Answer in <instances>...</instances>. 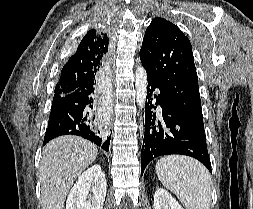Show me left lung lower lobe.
<instances>
[{"label": "left lung lower lobe", "instance_id": "left-lung-lower-lobe-1", "mask_svg": "<svg viewBox=\"0 0 253 209\" xmlns=\"http://www.w3.org/2000/svg\"><path fill=\"white\" fill-rule=\"evenodd\" d=\"M148 89L145 104V135L141 150V175L151 160L162 155L181 154L202 162L211 172V163L204 130L197 128L181 115L164 87L147 74ZM158 88L159 93L153 94ZM156 105L162 108V119L157 120Z\"/></svg>", "mask_w": 253, "mask_h": 209}]
</instances>
